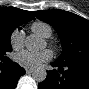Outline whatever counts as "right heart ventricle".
<instances>
[{
  "label": "right heart ventricle",
  "mask_w": 89,
  "mask_h": 89,
  "mask_svg": "<svg viewBox=\"0 0 89 89\" xmlns=\"http://www.w3.org/2000/svg\"><path fill=\"white\" fill-rule=\"evenodd\" d=\"M31 29L35 34L43 38H49L52 35V28L44 22L33 23Z\"/></svg>",
  "instance_id": "1"
}]
</instances>
